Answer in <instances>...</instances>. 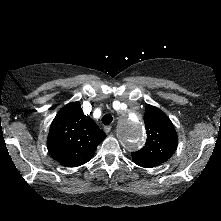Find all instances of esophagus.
Returning a JSON list of instances; mask_svg holds the SVG:
<instances>
[{"label": "esophagus", "instance_id": "obj_1", "mask_svg": "<svg viewBox=\"0 0 221 221\" xmlns=\"http://www.w3.org/2000/svg\"><path fill=\"white\" fill-rule=\"evenodd\" d=\"M112 127L111 126H105L104 131L105 133H109L111 131Z\"/></svg>", "mask_w": 221, "mask_h": 221}]
</instances>
